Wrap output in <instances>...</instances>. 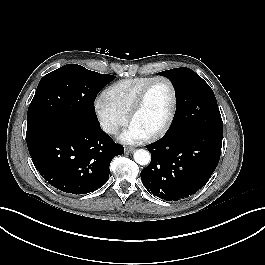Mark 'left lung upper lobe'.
I'll use <instances>...</instances> for the list:
<instances>
[{
  "label": "left lung upper lobe",
  "mask_w": 265,
  "mask_h": 265,
  "mask_svg": "<svg viewBox=\"0 0 265 265\" xmlns=\"http://www.w3.org/2000/svg\"><path fill=\"white\" fill-rule=\"evenodd\" d=\"M169 77L177 93V109L168 134L202 129L223 135V122L214 92L193 70L181 67L158 73Z\"/></svg>",
  "instance_id": "5c2ea615"
}]
</instances>
